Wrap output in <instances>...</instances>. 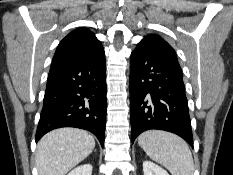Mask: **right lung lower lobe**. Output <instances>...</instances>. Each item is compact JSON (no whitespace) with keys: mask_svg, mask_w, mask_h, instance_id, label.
Returning a JSON list of instances; mask_svg holds the SVG:
<instances>
[{"mask_svg":"<svg viewBox=\"0 0 233 175\" xmlns=\"http://www.w3.org/2000/svg\"><path fill=\"white\" fill-rule=\"evenodd\" d=\"M105 53L50 70L36 142L60 127H76L92 132L104 145L106 99Z\"/></svg>","mask_w":233,"mask_h":175,"instance_id":"1","label":"right lung lower lobe"}]
</instances>
